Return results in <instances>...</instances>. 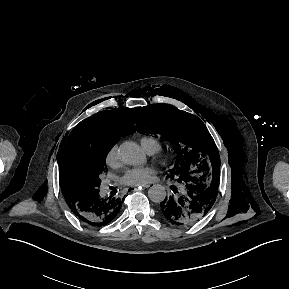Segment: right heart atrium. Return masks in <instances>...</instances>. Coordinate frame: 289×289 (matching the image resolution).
<instances>
[{
  "label": "right heart atrium",
  "instance_id": "d8ad5b80",
  "mask_svg": "<svg viewBox=\"0 0 289 289\" xmlns=\"http://www.w3.org/2000/svg\"><path fill=\"white\" fill-rule=\"evenodd\" d=\"M118 161V146L113 145L106 154V162L108 165L113 166Z\"/></svg>",
  "mask_w": 289,
  "mask_h": 289
}]
</instances>
